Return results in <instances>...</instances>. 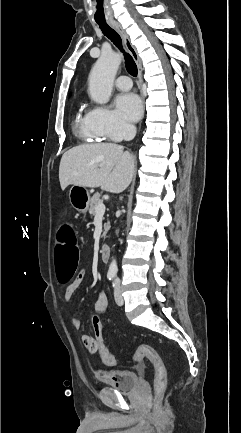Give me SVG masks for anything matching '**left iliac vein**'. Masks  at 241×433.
I'll return each mask as SVG.
<instances>
[{
	"mask_svg": "<svg viewBox=\"0 0 241 433\" xmlns=\"http://www.w3.org/2000/svg\"><path fill=\"white\" fill-rule=\"evenodd\" d=\"M114 297H115V301L119 306H122L124 303V299L121 293V289L119 284H116L115 290H114Z\"/></svg>",
	"mask_w": 241,
	"mask_h": 433,
	"instance_id": "1",
	"label": "left iliac vein"
}]
</instances>
